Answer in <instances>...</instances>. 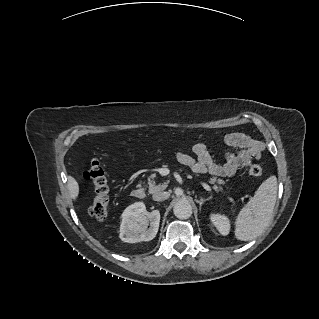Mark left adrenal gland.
Instances as JSON below:
<instances>
[{"label":"left adrenal gland","mask_w":319,"mask_h":319,"mask_svg":"<svg viewBox=\"0 0 319 319\" xmlns=\"http://www.w3.org/2000/svg\"><path fill=\"white\" fill-rule=\"evenodd\" d=\"M209 199H211V198L208 197V198L205 199V198H202V197H201L200 200L197 199L196 202L199 203V205H200L199 208L201 209L202 205H203L206 201H208Z\"/></svg>","instance_id":"a2214340"}]
</instances>
